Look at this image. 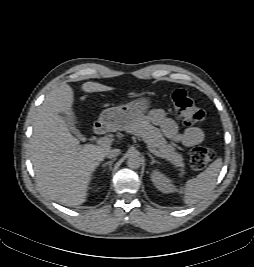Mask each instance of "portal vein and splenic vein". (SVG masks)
I'll list each match as a JSON object with an SVG mask.
<instances>
[{
    "label": "portal vein and splenic vein",
    "mask_w": 254,
    "mask_h": 267,
    "mask_svg": "<svg viewBox=\"0 0 254 267\" xmlns=\"http://www.w3.org/2000/svg\"><path fill=\"white\" fill-rule=\"evenodd\" d=\"M111 142H112V141H111L109 138H107V137H102V138H99V139L97 140V143H98L99 145H103V146H109V145H111ZM147 148H148V150H149L151 153H153L154 155H156V156H160L159 151L156 150L153 146L147 145Z\"/></svg>",
    "instance_id": "18ae733b"
}]
</instances>
